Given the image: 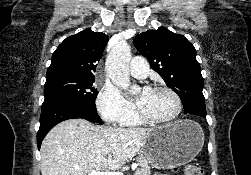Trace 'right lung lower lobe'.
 Segmentation results:
<instances>
[{
	"mask_svg": "<svg viewBox=\"0 0 251 175\" xmlns=\"http://www.w3.org/2000/svg\"><path fill=\"white\" fill-rule=\"evenodd\" d=\"M73 118H83L102 124L95 103L88 104L56 96L45 98L41 106L40 128L37 133L38 148L40 149L42 140L56 124Z\"/></svg>",
	"mask_w": 251,
	"mask_h": 175,
	"instance_id": "right-lung-lower-lobe-1",
	"label": "right lung lower lobe"
}]
</instances>
